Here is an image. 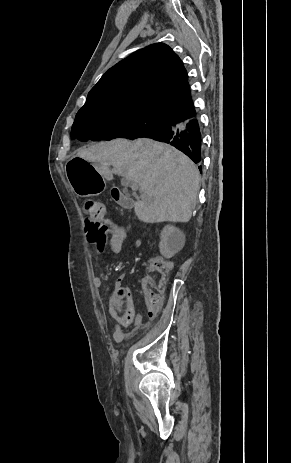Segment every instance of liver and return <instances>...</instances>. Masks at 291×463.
Here are the masks:
<instances>
[{
  "mask_svg": "<svg viewBox=\"0 0 291 463\" xmlns=\"http://www.w3.org/2000/svg\"><path fill=\"white\" fill-rule=\"evenodd\" d=\"M77 157L92 162L108 181L114 172L139 185L141 200L134 206L139 220L186 223L191 219L200 175L195 164L174 147L147 138L115 139L82 148Z\"/></svg>",
  "mask_w": 291,
  "mask_h": 463,
  "instance_id": "1",
  "label": "liver"
}]
</instances>
